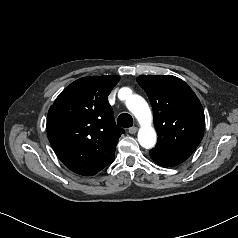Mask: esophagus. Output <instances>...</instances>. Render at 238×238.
Masks as SVG:
<instances>
[{
    "label": "esophagus",
    "instance_id": "obj_1",
    "mask_svg": "<svg viewBox=\"0 0 238 238\" xmlns=\"http://www.w3.org/2000/svg\"><path fill=\"white\" fill-rule=\"evenodd\" d=\"M137 131H138V128L135 127V126L130 127L129 130H128V132H129L130 134H135Z\"/></svg>",
    "mask_w": 238,
    "mask_h": 238
}]
</instances>
